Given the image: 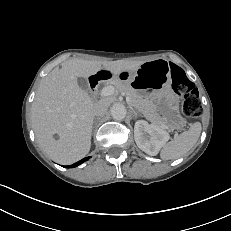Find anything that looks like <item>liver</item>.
I'll return each mask as SVG.
<instances>
[{
	"instance_id": "1",
	"label": "liver",
	"mask_w": 231,
	"mask_h": 231,
	"mask_svg": "<svg viewBox=\"0 0 231 231\" xmlns=\"http://www.w3.org/2000/svg\"><path fill=\"white\" fill-rule=\"evenodd\" d=\"M144 61L108 62L72 59L54 68L37 90L31 111L39 147L60 164H72L85 157L91 147L94 105L78 85L79 77L88 78L101 69L112 75L135 72ZM108 106L109 98L101 99ZM57 134L59 139H55Z\"/></svg>"
}]
</instances>
